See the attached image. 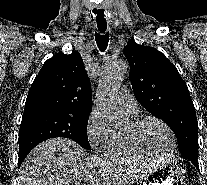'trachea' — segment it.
I'll use <instances>...</instances> for the list:
<instances>
[{
	"instance_id": "3493384b",
	"label": "trachea",
	"mask_w": 207,
	"mask_h": 185,
	"mask_svg": "<svg viewBox=\"0 0 207 185\" xmlns=\"http://www.w3.org/2000/svg\"><path fill=\"white\" fill-rule=\"evenodd\" d=\"M98 30L100 34L96 33L95 34V40L98 45V48L101 51L106 50L108 42H109V33H104L105 30H101L100 24L97 22Z\"/></svg>"
}]
</instances>
